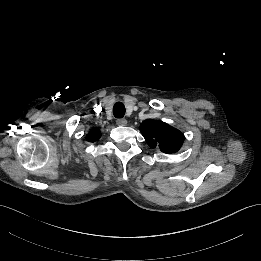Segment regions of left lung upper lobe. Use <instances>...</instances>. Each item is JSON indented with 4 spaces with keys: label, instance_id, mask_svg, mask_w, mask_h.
I'll return each instance as SVG.
<instances>
[{
    "label": "left lung upper lobe",
    "instance_id": "obj_1",
    "mask_svg": "<svg viewBox=\"0 0 261 261\" xmlns=\"http://www.w3.org/2000/svg\"><path fill=\"white\" fill-rule=\"evenodd\" d=\"M140 132L150 147H159L162 152L168 154L177 152L184 141V136L179 130L153 119L143 121Z\"/></svg>",
    "mask_w": 261,
    "mask_h": 261
}]
</instances>
